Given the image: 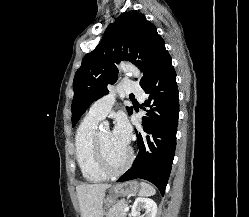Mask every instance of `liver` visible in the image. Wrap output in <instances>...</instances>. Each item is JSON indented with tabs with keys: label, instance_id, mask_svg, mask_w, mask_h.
I'll use <instances>...</instances> for the list:
<instances>
[{
	"label": "liver",
	"instance_id": "obj_1",
	"mask_svg": "<svg viewBox=\"0 0 249 217\" xmlns=\"http://www.w3.org/2000/svg\"><path fill=\"white\" fill-rule=\"evenodd\" d=\"M109 184H83L76 187L82 217H103V201Z\"/></svg>",
	"mask_w": 249,
	"mask_h": 217
}]
</instances>
